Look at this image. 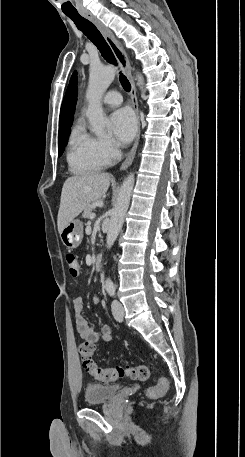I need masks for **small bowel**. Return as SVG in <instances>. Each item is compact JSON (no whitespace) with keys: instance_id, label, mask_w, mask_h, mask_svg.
Here are the masks:
<instances>
[{"instance_id":"small-bowel-1","label":"small bowel","mask_w":245,"mask_h":457,"mask_svg":"<svg viewBox=\"0 0 245 457\" xmlns=\"http://www.w3.org/2000/svg\"><path fill=\"white\" fill-rule=\"evenodd\" d=\"M97 300V297H94V301L97 302ZM73 308L75 311L76 328L82 339L91 343H96L98 341L109 342L111 340L112 330L109 326L104 325L99 331H96L83 317V299L81 297H77L73 300Z\"/></svg>"}]
</instances>
